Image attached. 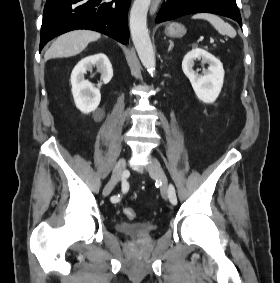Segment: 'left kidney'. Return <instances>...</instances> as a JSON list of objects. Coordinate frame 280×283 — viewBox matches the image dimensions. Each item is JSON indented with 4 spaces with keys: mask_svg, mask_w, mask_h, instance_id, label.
I'll use <instances>...</instances> for the list:
<instances>
[{
    "mask_svg": "<svg viewBox=\"0 0 280 283\" xmlns=\"http://www.w3.org/2000/svg\"><path fill=\"white\" fill-rule=\"evenodd\" d=\"M196 59H202L203 63L209 64L208 69L201 75L194 71ZM182 70L199 100L213 103L217 99L223 86L225 73L219 59L203 49L194 48L184 56Z\"/></svg>",
    "mask_w": 280,
    "mask_h": 283,
    "instance_id": "obj_1",
    "label": "left kidney"
}]
</instances>
